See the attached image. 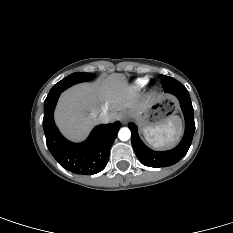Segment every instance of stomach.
Returning a JSON list of instances; mask_svg holds the SVG:
<instances>
[{
    "instance_id": "obj_1",
    "label": "stomach",
    "mask_w": 233,
    "mask_h": 233,
    "mask_svg": "<svg viewBox=\"0 0 233 233\" xmlns=\"http://www.w3.org/2000/svg\"><path fill=\"white\" fill-rule=\"evenodd\" d=\"M179 111L177 100L170 95H163L153 101L142 113H134L142 128L155 127L174 118Z\"/></svg>"
}]
</instances>
